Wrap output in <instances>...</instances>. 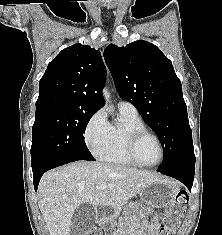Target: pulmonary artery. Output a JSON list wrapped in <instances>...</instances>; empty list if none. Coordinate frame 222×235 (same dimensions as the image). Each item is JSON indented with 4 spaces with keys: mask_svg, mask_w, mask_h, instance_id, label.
<instances>
[{
    "mask_svg": "<svg viewBox=\"0 0 222 235\" xmlns=\"http://www.w3.org/2000/svg\"><path fill=\"white\" fill-rule=\"evenodd\" d=\"M117 105H118L119 110L133 112V113L137 112L135 106L128 101L120 100V101H118Z\"/></svg>",
    "mask_w": 222,
    "mask_h": 235,
    "instance_id": "pulmonary-artery-1",
    "label": "pulmonary artery"
}]
</instances>
